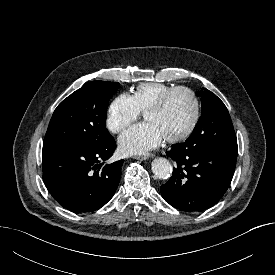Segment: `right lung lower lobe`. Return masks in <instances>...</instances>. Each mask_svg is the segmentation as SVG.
Here are the masks:
<instances>
[{"label":"right lung lower lobe","mask_w":275,"mask_h":275,"mask_svg":"<svg viewBox=\"0 0 275 275\" xmlns=\"http://www.w3.org/2000/svg\"><path fill=\"white\" fill-rule=\"evenodd\" d=\"M116 149L113 137L99 146H43V180L52 197L73 212L101 208L114 195L123 160L105 164Z\"/></svg>","instance_id":"98d812e1"}]
</instances>
